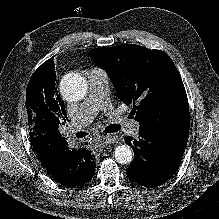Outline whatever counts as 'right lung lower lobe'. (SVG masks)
<instances>
[{"instance_id":"right-lung-lower-lobe-1","label":"right lung lower lobe","mask_w":219,"mask_h":219,"mask_svg":"<svg viewBox=\"0 0 219 219\" xmlns=\"http://www.w3.org/2000/svg\"><path fill=\"white\" fill-rule=\"evenodd\" d=\"M30 137L41 163L58 183L76 187L93 177L96 163L88 149L70 150L67 138L49 131H37Z\"/></svg>"}]
</instances>
